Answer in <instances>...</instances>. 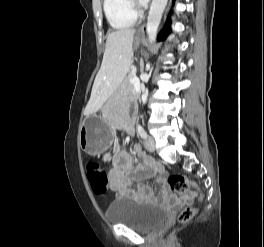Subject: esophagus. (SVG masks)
Listing matches in <instances>:
<instances>
[{"label":"esophagus","instance_id":"34e87169","mask_svg":"<svg viewBox=\"0 0 264 247\" xmlns=\"http://www.w3.org/2000/svg\"><path fill=\"white\" fill-rule=\"evenodd\" d=\"M142 31H143V26L139 28L138 33H142Z\"/></svg>","mask_w":264,"mask_h":247}]
</instances>
